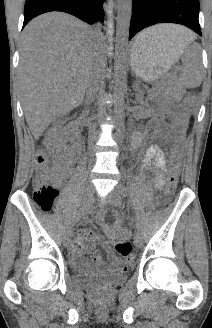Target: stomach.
Wrapping results in <instances>:
<instances>
[{"mask_svg": "<svg viewBox=\"0 0 212 328\" xmlns=\"http://www.w3.org/2000/svg\"><path fill=\"white\" fill-rule=\"evenodd\" d=\"M184 47L176 42L153 40L144 48H137L134 41L131 50L132 70L144 81L154 82L179 59Z\"/></svg>", "mask_w": 212, "mask_h": 328, "instance_id": "obj_1", "label": "stomach"}]
</instances>
